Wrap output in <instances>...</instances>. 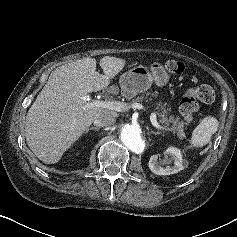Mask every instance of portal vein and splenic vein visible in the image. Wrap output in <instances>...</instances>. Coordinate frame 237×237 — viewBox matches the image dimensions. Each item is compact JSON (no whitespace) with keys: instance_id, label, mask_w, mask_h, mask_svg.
I'll use <instances>...</instances> for the list:
<instances>
[{"instance_id":"18ae733b","label":"portal vein and splenic vein","mask_w":237,"mask_h":237,"mask_svg":"<svg viewBox=\"0 0 237 237\" xmlns=\"http://www.w3.org/2000/svg\"><path fill=\"white\" fill-rule=\"evenodd\" d=\"M88 105L90 106H97V107H102V108H106L109 110H114L117 112H125L128 111V109L131 107L133 109H137V110H144V106L140 103H133L131 106H129L126 103L123 102H119V101H102V100H93L92 102H90ZM150 121L152 123V125L157 128V129H161V130H171L169 128L163 127L161 126L158 122H157V115L155 112H152L150 115Z\"/></svg>"}]
</instances>
